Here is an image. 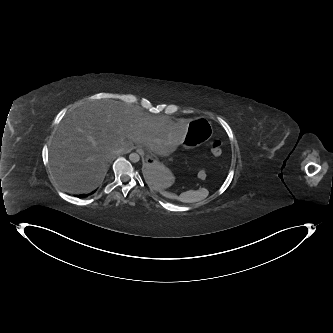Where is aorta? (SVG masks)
Returning <instances> with one entry per match:
<instances>
[{
	"label": "aorta",
	"mask_w": 333,
	"mask_h": 333,
	"mask_svg": "<svg viewBox=\"0 0 333 333\" xmlns=\"http://www.w3.org/2000/svg\"><path fill=\"white\" fill-rule=\"evenodd\" d=\"M129 160L133 163H137L140 161V155L138 153L133 152L129 155Z\"/></svg>",
	"instance_id": "762f6f07"
}]
</instances>
